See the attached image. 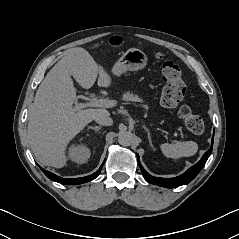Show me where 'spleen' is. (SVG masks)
<instances>
[{"instance_id":"spleen-1","label":"spleen","mask_w":239,"mask_h":239,"mask_svg":"<svg viewBox=\"0 0 239 239\" xmlns=\"http://www.w3.org/2000/svg\"><path fill=\"white\" fill-rule=\"evenodd\" d=\"M162 153L168 158L188 157L197 153L198 145L194 141L180 142L169 144L164 143L160 146Z\"/></svg>"}]
</instances>
